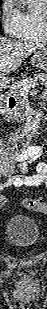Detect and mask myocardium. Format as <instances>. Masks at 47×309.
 I'll use <instances>...</instances> for the list:
<instances>
[{
    "mask_svg": "<svg viewBox=\"0 0 47 309\" xmlns=\"http://www.w3.org/2000/svg\"><path fill=\"white\" fill-rule=\"evenodd\" d=\"M43 21H44V30H45V33H46V36H47V14H46V11H44V14H43Z\"/></svg>",
    "mask_w": 47,
    "mask_h": 309,
    "instance_id": "f54148a6",
    "label": "myocardium"
}]
</instances>
